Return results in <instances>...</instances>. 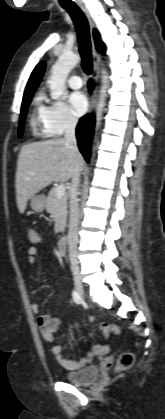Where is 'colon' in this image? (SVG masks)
Segmentation results:
<instances>
[{"mask_svg":"<svg viewBox=\"0 0 165 419\" xmlns=\"http://www.w3.org/2000/svg\"><path fill=\"white\" fill-rule=\"evenodd\" d=\"M28 237H29V240L33 243H36L39 240V236L37 232L33 229L28 230ZM100 329L105 334H108L109 332H115V333L121 332V330L117 326L110 325L108 323H101ZM134 359H135L134 353L131 351H125L121 353L116 363V371L121 372V371L129 369L133 365Z\"/></svg>","mask_w":165,"mask_h":419,"instance_id":"1","label":"colon"}]
</instances>
